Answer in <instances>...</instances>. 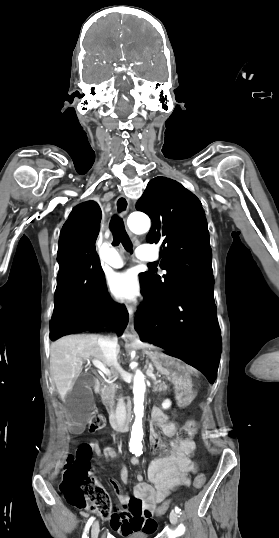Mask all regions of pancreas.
Masks as SVG:
<instances>
[{"instance_id":"pancreas-1","label":"pancreas","mask_w":279,"mask_h":538,"mask_svg":"<svg viewBox=\"0 0 279 538\" xmlns=\"http://www.w3.org/2000/svg\"><path fill=\"white\" fill-rule=\"evenodd\" d=\"M154 384V392L160 393L162 391L161 387H164L168 385V380L166 379H158L157 381H153ZM117 384H106V386H103L102 390H100L102 402L104 406H109L111 412H113V406L115 404V398H116V392H117Z\"/></svg>"}]
</instances>
